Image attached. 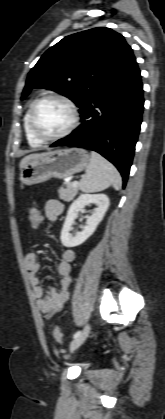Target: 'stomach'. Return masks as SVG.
Masks as SVG:
<instances>
[{
  "mask_svg": "<svg viewBox=\"0 0 165 419\" xmlns=\"http://www.w3.org/2000/svg\"><path fill=\"white\" fill-rule=\"evenodd\" d=\"M89 161V154L84 149L56 150L29 160L21 169L20 180L23 184L33 185L51 178H68L84 170Z\"/></svg>",
  "mask_w": 165,
  "mask_h": 419,
  "instance_id": "obj_1",
  "label": "stomach"
}]
</instances>
